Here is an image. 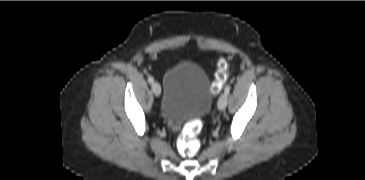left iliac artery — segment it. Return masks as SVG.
Listing matches in <instances>:
<instances>
[{
  "label": "left iliac artery",
  "instance_id": "obj_1",
  "mask_svg": "<svg viewBox=\"0 0 365 180\" xmlns=\"http://www.w3.org/2000/svg\"><path fill=\"white\" fill-rule=\"evenodd\" d=\"M229 92H230V86L227 85L225 90H224V93L228 96Z\"/></svg>",
  "mask_w": 365,
  "mask_h": 180
}]
</instances>
